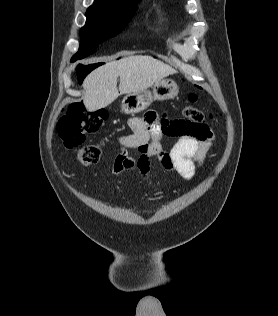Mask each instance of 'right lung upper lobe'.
Instances as JSON below:
<instances>
[{"instance_id": "cb5924a9", "label": "right lung upper lobe", "mask_w": 278, "mask_h": 316, "mask_svg": "<svg viewBox=\"0 0 278 316\" xmlns=\"http://www.w3.org/2000/svg\"><path fill=\"white\" fill-rule=\"evenodd\" d=\"M138 0H95L91 7H131L135 6Z\"/></svg>"}]
</instances>
